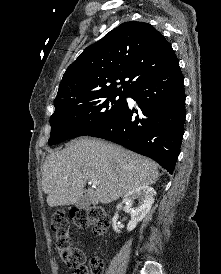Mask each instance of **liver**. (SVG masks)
Segmentation results:
<instances>
[{
    "instance_id": "liver-1",
    "label": "liver",
    "mask_w": 221,
    "mask_h": 274,
    "mask_svg": "<svg viewBox=\"0 0 221 274\" xmlns=\"http://www.w3.org/2000/svg\"><path fill=\"white\" fill-rule=\"evenodd\" d=\"M159 178L155 162L115 144L80 138L61 151L51 152L43 165L42 188L50 207L73 205L83 196L87 181L90 203L108 204Z\"/></svg>"
}]
</instances>
